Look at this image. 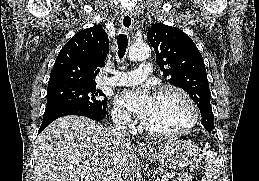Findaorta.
I'll list each match as a JSON object with an SVG mask.
<instances>
[{
    "instance_id": "1",
    "label": "aorta",
    "mask_w": 259,
    "mask_h": 181,
    "mask_svg": "<svg viewBox=\"0 0 259 181\" xmlns=\"http://www.w3.org/2000/svg\"><path fill=\"white\" fill-rule=\"evenodd\" d=\"M150 54V49L147 44H134L129 49L128 58L131 61L145 60Z\"/></svg>"
}]
</instances>
